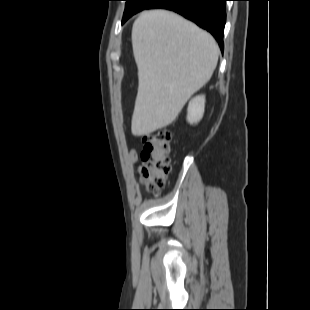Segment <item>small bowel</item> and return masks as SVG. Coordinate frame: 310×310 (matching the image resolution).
<instances>
[{"label": "small bowel", "mask_w": 310, "mask_h": 310, "mask_svg": "<svg viewBox=\"0 0 310 310\" xmlns=\"http://www.w3.org/2000/svg\"><path fill=\"white\" fill-rule=\"evenodd\" d=\"M139 152L137 149H131L129 152V159L132 163H136L138 161Z\"/></svg>", "instance_id": "small-bowel-1"}]
</instances>
